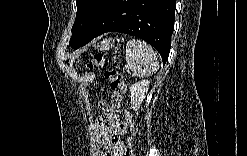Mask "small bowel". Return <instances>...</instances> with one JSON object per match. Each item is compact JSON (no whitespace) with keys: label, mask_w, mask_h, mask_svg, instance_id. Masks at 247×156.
Returning <instances> with one entry per match:
<instances>
[{"label":"small bowel","mask_w":247,"mask_h":156,"mask_svg":"<svg viewBox=\"0 0 247 156\" xmlns=\"http://www.w3.org/2000/svg\"><path fill=\"white\" fill-rule=\"evenodd\" d=\"M122 95L113 93L111 102L101 101L103 114L95 127L97 149L101 155L124 156L131 148L132 135L120 114Z\"/></svg>","instance_id":"c3829d8e"}]
</instances>
